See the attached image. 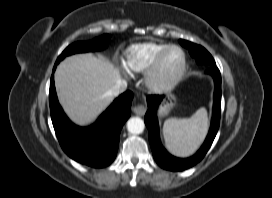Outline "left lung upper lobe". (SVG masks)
Segmentation results:
<instances>
[{
	"mask_svg": "<svg viewBox=\"0 0 272 198\" xmlns=\"http://www.w3.org/2000/svg\"><path fill=\"white\" fill-rule=\"evenodd\" d=\"M179 43L189 50L190 55L196 59L197 63H206L211 66H216L211 54L202 46L185 40H179Z\"/></svg>",
	"mask_w": 272,
	"mask_h": 198,
	"instance_id": "obj_1",
	"label": "left lung upper lobe"
}]
</instances>
